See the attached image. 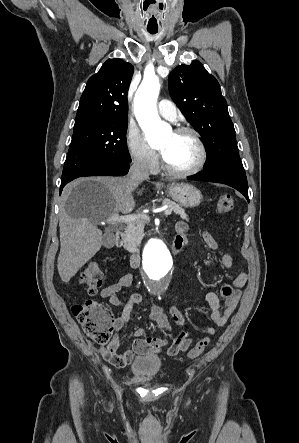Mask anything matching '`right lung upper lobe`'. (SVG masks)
I'll list each match as a JSON object with an SVG mask.
<instances>
[{"label":"right lung upper lobe","mask_w":299,"mask_h":443,"mask_svg":"<svg viewBox=\"0 0 299 443\" xmlns=\"http://www.w3.org/2000/svg\"><path fill=\"white\" fill-rule=\"evenodd\" d=\"M133 71L130 63L119 58L107 60L86 84L74 128L107 119L128 120L127 92Z\"/></svg>","instance_id":"1"}]
</instances>
